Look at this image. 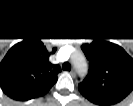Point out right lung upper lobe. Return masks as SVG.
<instances>
[{
  "instance_id": "cb5924a9",
  "label": "right lung upper lobe",
  "mask_w": 133,
  "mask_h": 106,
  "mask_svg": "<svg viewBox=\"0 0 133 106\" xmlns=\"http://www.w3.org/2000/svg\"><path fill=\"white\" fill-rule=\"evenodd\" d=\"M49 54L38 40L14 45L0 63V86L10 98L27 101L45 95L57 81L59 65L48 60Z\"/></svg>"
}]
</instances>
